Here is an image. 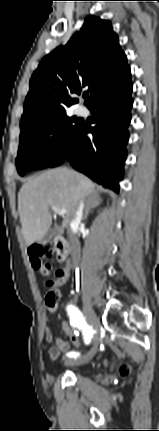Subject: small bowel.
Segmentation results:
<instances>
[{"mask_svg":"<svg viewBox=\"0 0 159 431\" xmlns=\"http://www.w3.org/2000/svg\"><path fill=\"white\" fill-rule=\"evenodd\" d=\"M69 276H70V265H67L64 268L57 270L56 271V279L48 281L47 285L49 287L62 286L63 284H65L67 282V280L69 279ZM44 335H45V339L47 342L52 341V339H53L52 334L47 327L44 328ZM69 348H70L69 342H67L61 338H57L55 340V345L52 346L48 351L50 359H52V360L58 359L62 353L68 352ZM68 353H71V352H68Z\"/></svg>","mask_w":159,"mask_h":431,"instance_id":"obj_1","label":"small bowel"}]
</instances>
